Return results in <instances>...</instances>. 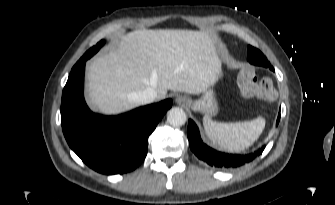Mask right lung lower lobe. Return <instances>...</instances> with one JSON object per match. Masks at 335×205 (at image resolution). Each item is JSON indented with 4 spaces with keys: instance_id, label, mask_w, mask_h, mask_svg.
Returning a JSON list of instances; mask_svg holds the SVG:
<instances>
[{
    "instance_id": "98d812e1",
    "label": "right lung lower lobe",
    "mask_w": 335,
    "mask_h": 205,
    "mask_svg": "<svg viewBox=\"0 0 335 205\" xmlns=\"http://www.w3.org/2000/svg\"><path fill=\"white\" fill-rule=\"evenodd\" d=\"M85 62L83 59L72 68L62 93L61 125L66 141L81 160L97 172L132 171L146 157L148 137L172 106V100L115 117L94 114L83 96Z\"/></svg>"
}]
</instances>
